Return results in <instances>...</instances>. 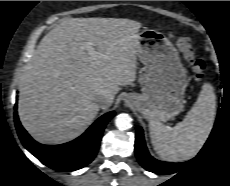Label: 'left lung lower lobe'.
Listing matches in <instances>:
<instances>
[{
    "label": "left lung lower lobe",
    "mask_w": 230,
    "mask_h": 186,
    "mask_svg": "<svg viewBox=\"0 0 230 186\" xmlns=\"http://www.w3.org/2000/svg\"><path fill=\"white\" fill-rule=\"evenodd\" d=\"M136 141H135V153L139 163L148 171L158 174H172L178 172L182 168H186L196 159H192L183 163H169L154 159L150 156L143 137V131L137 128Z\"/></svg>",
    "instance_id": "obj_1"
}]
</instances>
